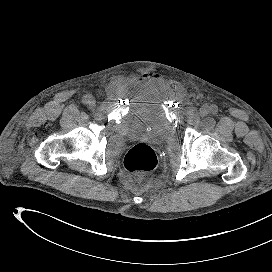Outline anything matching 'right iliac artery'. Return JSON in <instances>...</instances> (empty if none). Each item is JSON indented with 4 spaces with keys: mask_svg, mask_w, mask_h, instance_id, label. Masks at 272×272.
I'll list each match as a JSON object with an SVG mask.
<instances>
[{
    "mask_svg": "<svg viewBox=\"0 0 272 272\" xmlns=\"http://www.w3.org/2000/svg\"><path fill=\"white\" fill-rule=\"evenodd\" d=\"M82 102L84 104H88L89 103V97L88 96H84L83 99H82Z\"/></svg>",
    "mask_w": 272,
    "mask_h": 272,
    "instance_id": "1",
    "label": "right iliac artery"
}]
</instances>
